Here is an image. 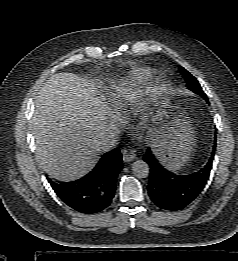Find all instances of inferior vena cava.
Instances as JSON below:
<instances>
[{
  "label": "inferior vena cava",
  "mask_w": 238,
  "mask_h": 261,
  "mask_svg": "<svg viewBox=\"0 0 238 261\" xmlns=\"http://www.w3.org/2000/svg\"><path fill=\"white\" fill-rule=\"evenodd\" d=\"M120 137V130L118 129L117 126L110 124L107 127L106 134L101 141V149L103 151H109L112 149L114 146L117 145L118 140Z\"/></svg>",
  "instance_id": "602c4592"
}]
</instances>
